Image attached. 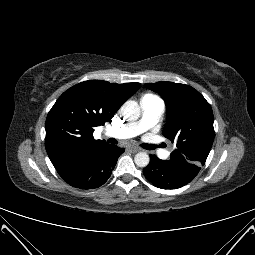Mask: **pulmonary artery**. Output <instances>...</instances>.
<instances>
[{"instance_id":"pulmonary-artery-1","label":"pulmonary artery","mask_w":255,"mask_h":255,"mask_svg":"<svg viewBox=\"0 0 255 255\" xmlns=\"http://www.w3.org/2000/svg\"><path fill=\"white\" fill-rule=\"evenodd\" d=\"M142 117L137 122L128 123L116 128H109L106 134L118 139L132 138L154 126L162 116L165 105L156 97H144L141 102Z\"/></svg>"}]
</instances>
